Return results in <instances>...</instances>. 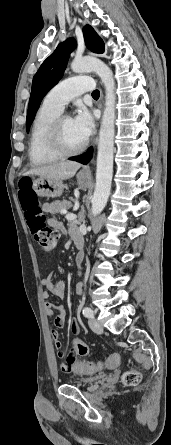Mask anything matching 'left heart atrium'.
<instances>
[{
	"mask_svg": "<svg viewBox=\"0 0 171 445\" xmlns=\"http://www.w3.org/2000/svg\"><path fill=\"white\" fill-rule=\"evenodd\" d=\"M73 122L84 139H87L93 132L94 119L87 108L79 107Z\"/></svg>",
	"mask_w": 171,
	"mask_h": 445,
	"instance_id": "obj_1",
	"label": "left heart atrium"
}]
</instances>
